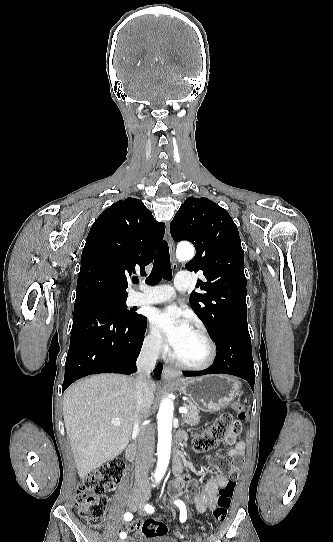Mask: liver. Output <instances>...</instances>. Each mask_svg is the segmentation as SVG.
<instances>
[{
	"instance_id": "6515ba94",
	"label": "liver",
	"mask_w": 333,
	"mask_h": 542,
	"mask_svg": "<svg viewBox=\"0 0 333 542\" xmlns=\"http://www.w3.org/2000/svg\"><path fill=\"white\" fill-rule=\"evenodd\" d=\"M135 384L132 376L97 374L66 390L63 418L81 480L129 444L137 408ZM150 390H156L152 380Z\"/></svg>"
}]
</instances>
